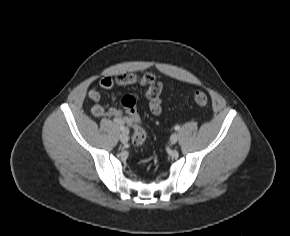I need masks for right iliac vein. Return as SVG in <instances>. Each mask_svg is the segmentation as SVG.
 I'll use <instances>...</instances> for the list:
<instances>
[{"label":"right iliac vein","instance_id":"63e3f726","mask_svg":"<svg viewBox=\"0 0 290 236\" xmlns=\"http://www.w3.org/2000/svg\"><path fill=\"white\" fill-rule=\"evenodd\" d=\"M119 139L122 143H127L128 140H129V137H128V130L127 129H124L120 135H119Z\"/></svg>","mask_w":290,"mask_h":236}]
</instances>
